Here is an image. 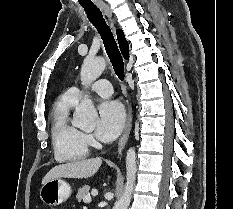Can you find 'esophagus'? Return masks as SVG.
Instances as JSON below:
<instances>
[{
	"label": "esophagus",
	"instance_id": "1",
	"mask_svg": "<svg viewBox=\"0 0 233 209\" xmlns=\"http://www.w3.org/2000/svg\"><path fill=\"white\" fill-rule=\"evenodd\" d=\"M100 8L109 19H112V11L108 5H100ZM131 128H132V108H131V106H129L126 126L124 129L123 135L118 142V151H117L118 158L121 155V153L125 147V144L129 138Z\"/></svg>",
	"mask_w": 233,
	"mask_h": 209
}]
</instances>
